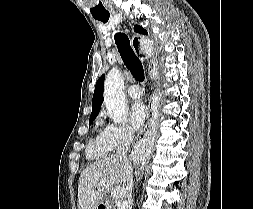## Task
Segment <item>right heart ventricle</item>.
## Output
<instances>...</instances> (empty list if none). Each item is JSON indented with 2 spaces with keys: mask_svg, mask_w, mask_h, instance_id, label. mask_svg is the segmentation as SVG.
<instances>
[{
  "mask_svg": "<svg viewBox=\"0 0 253 209\" xmlns=\"http://www.w3.org/2000/svg\"><path fill=\"white\" fill-rule=\"evenodd\" d=\"M110 151L111 149L102 140L101 133L87 146V156L92 159L105 157Z\"/></svg>",
  "mask_w": 253,
  "mask_h": 209,
  "instance_id": "1",
  "label": "right heart ventricle"
}]
</instances>
